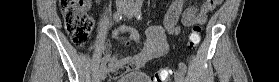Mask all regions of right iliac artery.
Returning <instances> with one entry per match:
<instances>
[{
  "instance_id": "right-iliac-artery-1",
  "label": "right iliac artery",
  "mask_w": 279,
  "mask_h": 82,
  "mask_svg": "<svg viewBox=\"0 0 279 82\" xmlns=\"http://www.w3.org/2000/svg\"><path fill=\"white\" fill-rule=\"evenodd\" d=\"M122 19V12L121 11H117L116 13H114V20L116 22H119ZM101 65H106V61L104 60V58L101 60Z\"/></svg>"
}]
</instances>
